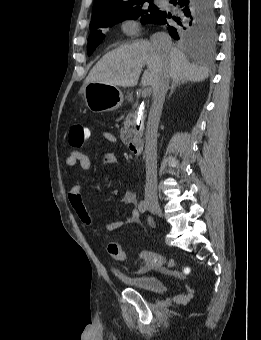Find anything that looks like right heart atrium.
<instances>
[{"label": "right heart atrium", "mask_w": 261, "mask_h": 340, "mask_svg": "<svg viewBox=\"0 0 261 340\" xmlns=\"http://www.w3.org/2000/svg\"><path fill=\"white\" fill-rule=\"evenodd\" d=\"M122 31L128 36H135L139 32V24L132 19L126 20L122 23Z\"/></svg>", "instance_id": "1"}]
</instances>
